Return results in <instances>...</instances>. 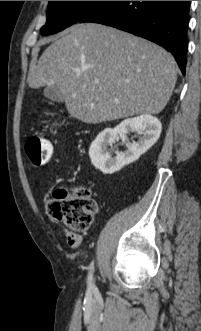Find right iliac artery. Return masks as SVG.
<instances>
[{"label":"right iliac artery","mask_w":201,"mask_h":331,"mask_svg":"<svg viewBox=\"0 0 201 331\" xmlns=\"http://www.w3.org/2000/svg\"><path fill=\"white\" fill-rule=\"evenodd\" d=\"M90 269L92 270L93 269V263L90 265ZM88 283H89V286L90 288L93 290L95 289V286L93 284V274H92V271L90 272L89 276H88Z\"/></svg>","instance_id":"right-iliac-artery-1"}]
</instances>
